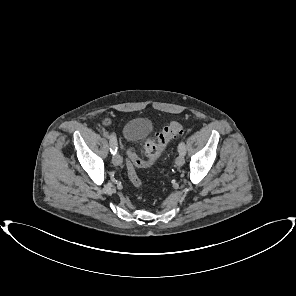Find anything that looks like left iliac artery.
I'll return each instance as SVG.
<instances>
[{
  "instance_id": "1",
  "label": "left iliac artery",
  "mask_w": 296,
  "mask_h": 296,
  "mask_svg": "<svg viewBox=\"0 0 296 296\" xmlns=\"http://www.w3.org/2000/svg\"><path fill=\"white\" fill-rule=\"evenodd\" d=\"M178 152L183 155L186 153L185 143L183 141H181L178 145Z\"/></svg>"
}]
</instances>
